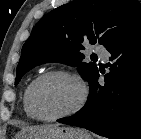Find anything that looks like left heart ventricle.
Masks as SVG:
<instances>
[{"instance_id":"left-heart-ventricle-1","label":"left heart ventricle","mask_w":141,"mask_h":139,"mask_svg":"<svg viewBox=\"0 0 141 139\" xmlns=\"http://www.w3.org/2000/svg\"><path fill=\"white\" fill-rule=\"evenodd\" d=\"M80 94L77 83L64 76L41 80L33 92L36 110L44 116H54L72 108Z\"/></svg>"}]
</instances>
